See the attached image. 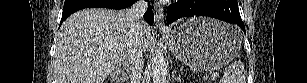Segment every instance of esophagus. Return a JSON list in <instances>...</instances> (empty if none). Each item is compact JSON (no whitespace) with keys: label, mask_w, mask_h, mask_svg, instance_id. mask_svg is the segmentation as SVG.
Here are the masks:
<instances>
[{"label":"esophagus","mask_w":307,"mask_h":83,"mask_svg":"<svg viewBox=\"0 0 307 83\" xmlns=\"http://www.w3.org/2000/svg\"><path fill=\"white\" fill-rule=\"evenodd\" d=\"M154 18L156 26L161 29H164V12L162 6H160L159 3H155L154 5Z\"/></svg>","instance_id":"34e87169"}]
</instances>
